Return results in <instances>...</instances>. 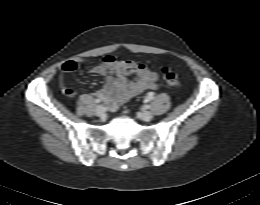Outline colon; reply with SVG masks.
<instances>
[{
    "label": "colon",
    "instance_id": "1",
    "mask_svg": "<svg viewBox=\"0 0 260 205\" xmlns=\"http://www.w3.org/2000/svg\"><path fill=\"white\" fill-rule=\"evenodd\" d=\"M161 75L168 85L173 87H177L180 85L178 75L171 68L166 66L162 67Z\"/></svg>",
    "mask_w": 260,
    "mask_h": 205
}]
</instances>
